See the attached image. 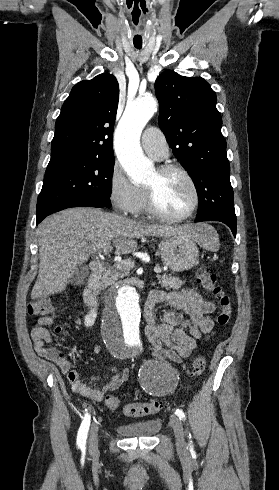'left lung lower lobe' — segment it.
<instances>
[{
	"label": "left lung lower lobe",
	"mask_w": 279,
	"mask_h": 490,
	"mask_svg": "<svg viewBox=\"0 0 279 490\" xmlns=\"http://www.w3.org/2000/svg\"><path fill=\"white\" fill-rule=\"evenodd\" d=\"M208 220L220 221V222L225 223L232 230L234 237L236 236V227H237L236 219H231L229 217L211 214V215H207L205 217L196 218L195 222L208 221Z\"/></svg>",
	"instance_id": "left-lung-lower-lobe-1"
}]
</instances>
